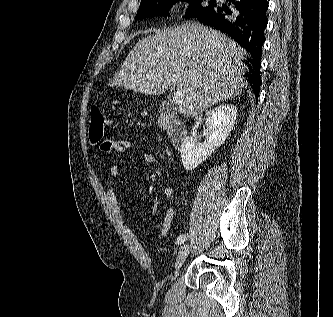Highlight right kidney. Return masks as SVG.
<instances>
[{
	"mask_svg": "<svg viewBox=\"0 0 333 317\" xmlns=\"http://www.w3.org/2000/svg\"><path fill=\"white\" fill-rule=\"evenodd\" d=\"M237 107L220 105L207 115L205 125L208 135L203 144H196L192 137H186L181 146V159L186 170H192L210 157L220 147L234 127Z\"/></svg>",
	"mask_w": 333,
	"mask_h": 317,
	"instance_id": "ca27d5eb",
	"label": "right kidney"
}]
</instances>
